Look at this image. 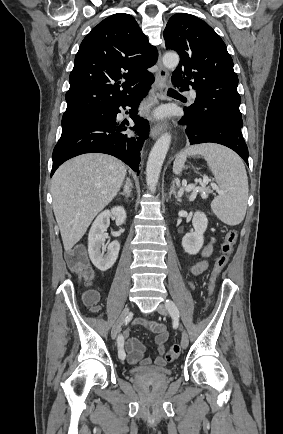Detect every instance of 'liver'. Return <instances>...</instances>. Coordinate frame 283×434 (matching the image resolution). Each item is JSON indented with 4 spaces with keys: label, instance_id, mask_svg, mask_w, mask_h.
Instances as JSON below:
<instances>
[{
    "label": "liver",
    "instance_id": "6515ba94",
    "mask_svg": "<svg viewBox=\"0 0 283 434\" xmlns=\"http://www.w3.org/2000/svg\"><path fill=\"white\" fill-rule=\"evenodd\" d=\"M127 170L110 155L88 153L61 165L52 178L53 210L64 249L70 251L94 217L117 195Z\"/></svg>",
    "mask_w": 283,
    "mask_h": 434
}]
</instances>
